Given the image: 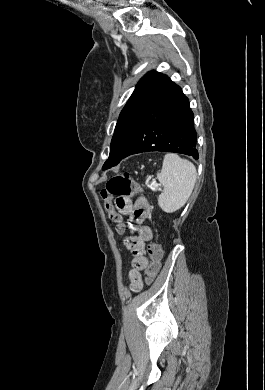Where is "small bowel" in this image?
I'll use <instances>...</instances> for the list:
<instances>
[{
    "instance_id": "c3829d8e",
    "label": "small bowel",
    "mask_w": 265,
    "mask_h": 390,
    "mask_svg": "<svg viewBox=\"0 0 265 390\" xmlns=\"http://www.w3.org/2000/svg\"><path fill=\"white\" fill-rule=\"evenodd\" d=\"M115 207L122 216H128L130 224L136 235L125 239L126 248L132 253V268L128 273L133 291L142 288L141 271L148 265L145 255V243L153 238V231L142 222L150 212V205L146 198L140 197L134 203L129 197H117Z\"/></svg>"
}]
</instances>
